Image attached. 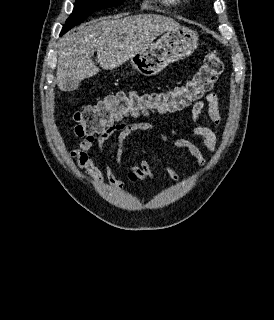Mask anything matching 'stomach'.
Here are the masks:
<instances>
[{
    "mask_svg": "<svg viewBox=\"0 0 274 320\" xmlns=\"http://www.w3.org/2000/svg\"><path fill=\"white\" fill-rule=\"evenodd\" d=\"M198 36L189 28H172L157 40L156 44H150L145 52L135 54L131 58L134 70L142 76H156L172 62H178L188 58L198 48Z\"/></svg>",
    "mask_w": 274,
    "mask_h": 320,
    "instance_id": "0dacf381",
    "label": "stomach"
}]
</instances>
